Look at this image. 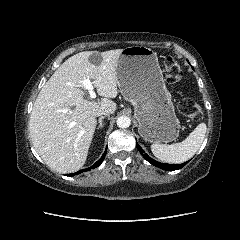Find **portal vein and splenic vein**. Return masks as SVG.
<instances>
[{"instance_id": "1", "label": "portal vein and splenic vein", "mask_w": 240, "mask_h": 240, "mask_svg": "<svg viewBox=\"0 0 240 240\" xmlns=\"http://www.w3.org/2000/svg\"><path fill=\"white\" fill-rule=\"evenodd\" d=\"M82 87L89 92L90 98H96L95 88L90 79H84L81 81Z\"/></svg>"}]
</instances>
